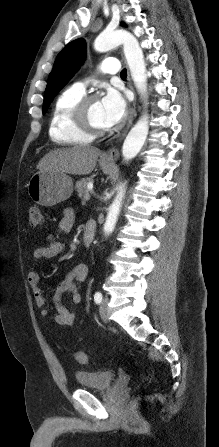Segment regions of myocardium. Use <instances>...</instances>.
I'll return each instance as SVG.
<instances>
[{
  "instance_id": "1",
  "label": "myocardium",
  "mask_w": 219,
  "mask_h": 447,
  "mask_svg": "<svg viewBox=\"0 0 219 447\" xmlns=\"http://www.w3.org/2000/svg\"><path fill=\"white\" fill-rule=\"evenodd\" d=\"M97 101L95 95H86L80 98L72 111V120L75 127L90 137H100L108 132L106 127L96 126L90 116L91 105Z\"/></svg>"
}]
</instances>
